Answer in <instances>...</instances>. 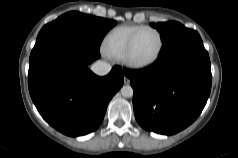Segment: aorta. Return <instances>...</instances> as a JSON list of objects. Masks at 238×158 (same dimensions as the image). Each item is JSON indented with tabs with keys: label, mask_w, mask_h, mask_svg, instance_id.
<instances>
[{
	"label": "aorta",
	"mask_w": 238,
	"mask_h": 158,
	"mask_svg": "<svg viewBox=\"0 0 238 158\" xmlns=\"http://www.w3.org/2000/svg\"><path fill=\"white\" fill-rule=\"evenodd\" d=\"M121 94L123 97L129 98L133 96V88L130 85H125L121 88Z\"/></svg>",
	"instance_id": "obj_1"
}]
</instances>
